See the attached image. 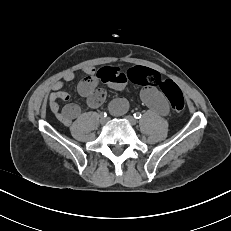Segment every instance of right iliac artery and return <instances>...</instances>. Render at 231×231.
<instances>
[{
  "instance_id": "right-iliac-artery-1",
  "label": "right iliac artery",
  "mask_w": 231,
  "mask_h": 231,
  "mask_svg": "<svg viewBox=\"0 0 231 231\" xmlns=\"http://www.w3.org/2000/svg\"><path fill=\"white\" fill-rule=\"evenodd\" d=\"M100 116L103 117V118H105V117H107V113L106 112H101Z\"/></svg>"
}]
</instances>
